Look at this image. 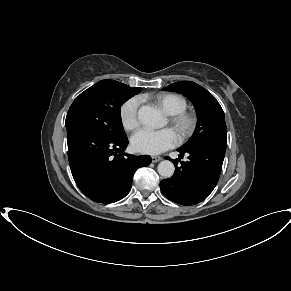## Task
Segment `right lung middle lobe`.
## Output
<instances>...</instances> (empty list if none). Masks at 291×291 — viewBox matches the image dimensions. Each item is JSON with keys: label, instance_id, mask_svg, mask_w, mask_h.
Here are the masks:
<instances>
[{"label": "right lung middle lobe", "instance_id": "dd1d6c3e", "mask_svg": "<svg viewBox=\"0 0 291 291\" xmlns=\"http://www.w3.org/2000/svg\"><path fill=\"white\" fill-rule=\"evenodd\" d=\"M140 90L115 80L99 81L70 106L65 121L67 130L82 129L112 140L125 137L120 107Z\"/></svg>", "mask_w": 291, "mask_h": 291}]
</instances>
